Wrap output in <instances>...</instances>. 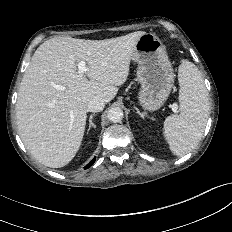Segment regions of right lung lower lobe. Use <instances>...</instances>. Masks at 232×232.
Listing matches in <instances>:
<instances>
[{
  "mask_svg": "<svg viewBox=\"0 0 232 232\" xmlns=\"http://www.w3.org/2000/svg\"><path fill=\"white\" fill-rule=\"evenodd\" d=\"M95 158L89 163L86 165L85 169L89 168L94 162H95Z\"/></svg>",
  "mask_w": 232,
  "mask_h": 232,
  "instance_id": "98d812e1",
  "label": "right lung lower lobe"
}]
</instances>
